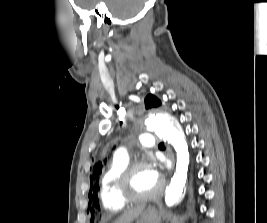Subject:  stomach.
<instances>
[{"mask_svg": "<svg viewBox=\"0 0 267 223\" xmlns=\"http://www.w3.org/2000/svg\"><path fill=\"white\" fill-rule=\"evenodd\" d=\"M161 222H162V215L154 206H149L148 208H146L135 221V223H161Z\"/></svg>", "mask_w": 267, "mask_h": 223, "instance_id": "stomach-1", "label": "stomach"}]
</instances>
